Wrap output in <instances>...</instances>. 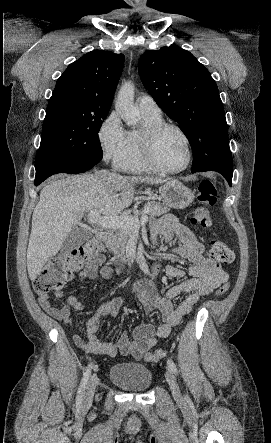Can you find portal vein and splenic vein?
I'll return each mask as SVG.
<instances>
[{
	"label": "portal vein and splenic vein",
	"instance_id": "1",
	"mask_svg": "<svg viewBox=\"0 0 271 443\" xmlns=\"http://www.w3.org/2000/svg\"><path fill=\"white\" fill-rule=\"evenodd\" d=\"M88 220L91 223H97L105 229L110 227H121V229H132V227H139V225H145L148 222V216H142L141 220H138L137 216H110V218H103L98 210H90L88 214Z\"/></svg>",
	"mask_w": 271,
	"mask_h": 443
}]
</instances>
